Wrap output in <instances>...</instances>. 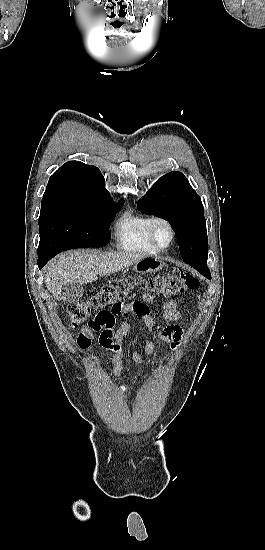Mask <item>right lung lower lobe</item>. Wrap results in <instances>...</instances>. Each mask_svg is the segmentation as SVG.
I'll list each match as a JSON object with an SVG mask.
<instances>
[{
    "instance_id": "1",
    "label": "right lung lower lobe",
    "mask_w": 265,
    "mask_h": 550,
    "mask_svg": "<svg viewBox=\"0 0 265 550\" xmlns=\"http://www.w3.org/2000/svg\"><path fill=\"white\" fill-rule=\"evenodd\" d=\"M50 260L49 257L38 256V266L41 269Z\"/></svg>"
}]
</instances>
